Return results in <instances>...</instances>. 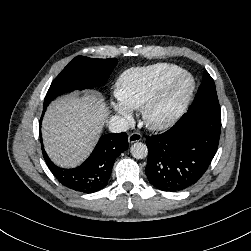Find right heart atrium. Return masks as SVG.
I'll return each instance as SVG.
<instances>
[{
    "mask_svg": "<svg viewBox=\"0 0 251 251\" xmlns=\"http://www.w3.org/2000/svg\"><path fill=\"white\" fill-rule=\"evenodd\" d=\"M111 108L117 113L124 117L130 116V108L127 107L124 103L121 101L111 102Z\"/></svg>",
    "mask_w": 251,
    "mask_h": 251,
    "instance_id": "1",
    "label": "right heart atrium"
}]
</instances>
